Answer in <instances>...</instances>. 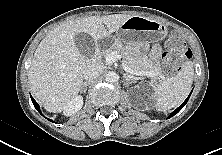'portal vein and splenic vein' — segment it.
<instances>
[{"label":"portal vein and splenic vein","instance_id":"obj_1","mask_svg":"<svg viewBox=\"0 0 222 155\" xmlns=\"http://www.w3.org/2000/svg\"><path fill=\"white\" fill-rule=\"evenodd\" d=\"M121 59V56L116 52V51H113L111 52L110 54H108L106 57H105V61L107 64H112L114 62H116L117 60H120ZM122 66H123V69L130 73V74H135L134 71L132 69H130L128 66H126L124 63H122ZM138 75H146L148 77H157V74L154 72V71H140L138 73H136Z\"/></svg>","mask_w":222,"mask_h":155}]
</instances>
